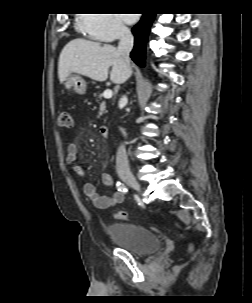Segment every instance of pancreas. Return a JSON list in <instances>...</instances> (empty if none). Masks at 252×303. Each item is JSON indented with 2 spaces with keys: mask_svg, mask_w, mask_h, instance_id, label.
<instances>
[{
  "mask_svg": "<svg viewBox=\"0 0 252 303\" xmlns=\"http://www.w3.org/2000/svg\"><path fill=\"white\" fill-rule=\"evenodd\" d=\"M97 97L96 101L100 103V111H99V116H101L104 112H106V103L102 100L103 95L102 94H96ZM101 101V102H100Z\"/></svg>",
  "mask_w": 252,
  "mask_h": 303,
  "instance_id": "1",
  "label": "pancreas"
}]
</instances>
